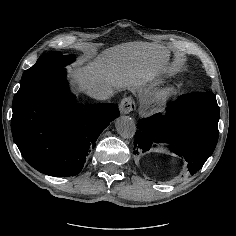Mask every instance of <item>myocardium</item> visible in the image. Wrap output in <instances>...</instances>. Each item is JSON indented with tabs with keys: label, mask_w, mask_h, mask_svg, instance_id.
I'll list each match as a JSON object with an SVG mask.
<instances>
[{
	"label": "myocardium",
	"mask_w": 236,
	"mask_h": 236,
	"mask_svg": "<svg viewBox=\"0 0 236 236\" xmlns=\"http://www.w3.org/2000/svg\"><path fill=\"white\" fill-rule=\"evenodd\" d=\"M174 93L173 88H163L151 93L143 102V110L149 115L159 113L168 104Z\"/></svg>",
	"instance_id": "obj_1"
}]
</instances>
